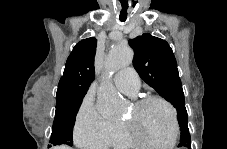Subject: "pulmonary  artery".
<instances>
[{"label":"pulmonary artery","mask_w":227,"mask_h":149,"mask_svg":"<svg viewBox=\"0 0 227 149\" xmlns=\"http://www.w3.org/2000/svg\"><path fill=\"white\" fill-rule=\"evenodd\" d=\"M115 86L128 96H135L140 89V79L133 68H124L114 76Z\"/></svg>","instance_id":"pulmonary-artery-1"}]
</instances>
